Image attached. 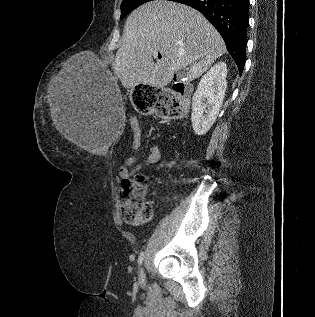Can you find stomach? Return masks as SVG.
<instances>
[{
  "instance_id": "stomach-1",
  "label": "stomach",
  "mask_w": 315,
  "mask_h": 317,
  "mask_svg": "<svg viewBox=\"0 0 315 317\" xmlns=\"http://www.w3.org/2000/svg\"><path fill=\"white\" fill-rule=\"evenodd\" d=\"M135 110L139 114H152L158 110L157 97L150 95H161V88H154L153 84H137L132 88Z\"/></svg>"
}]
</instances>
